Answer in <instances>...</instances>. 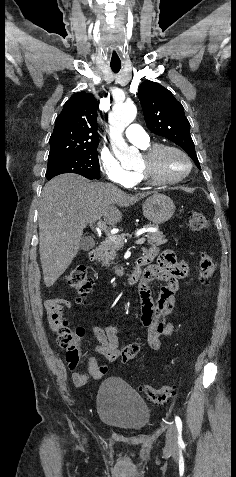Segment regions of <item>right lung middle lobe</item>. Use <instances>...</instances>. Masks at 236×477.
Masks as SVG:
<instances>
[{
	"label": "right lung middle lobe",
	"mask_w": 236,
	"mask_h": 477,
	"mask_svg": "<svg viewBox=\"0 0 236 477\" xmlns=\"http://www.w3.org/2000/svg\"><path fill=\"white\" fill-rule=\"evenodd\" d=\"M97 147H87L73 154L48 161L46 177L48 180L63 174L75 173L88 179H100Z\"/></svg>",
	"instance_id": "1"
}]
</instances>
